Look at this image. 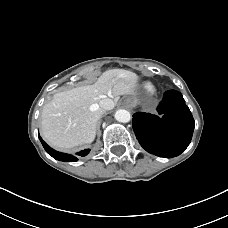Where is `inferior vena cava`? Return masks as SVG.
Listing matches in <instances>:
<instances>
[{"mask_svg": "<svg viewBox=\"0 0 228 228\" xmlns=\"http://www.w3.org/2000/svg\"><path fill=\"white\" fill-rule=\"evenodd\" d=\"M112 103L113 102L111 99L105 98V99L100 100L99 106H100V108H102L104 110H109L112 107Z\"/></svg>", "mask_w": 228, "mask_h": 228, "instance_id": "1", "label": "inferior vena cava"}]
</instances>
